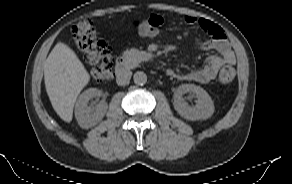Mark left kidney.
Masks as SVG:
<instances>
[{"label":"left kidney","mask_w":292,"mask_h":184,"mask_svg":"<svg viewBox=\"0 0 292 184\" xmlns=\"http://www.w3.org/2000/svg\"><path fill=\"white\" fill-rule=\"evenodd\" d=\"M191 92L195 95L196 105L190 106L182 98V94ZM174 109L187 120H205L214 113V104L209 94L194 84L180 85L174 94Z\"/></svg>","instance_id":"1"}]
</instances>
